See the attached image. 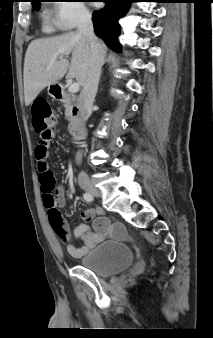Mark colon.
I'll return each mask as SVG.
<instances>
[{"instance_id":"5ec220e1","label":"colon","mask_w":213,"mask_h":338,"mask_svg":"<svg viewBox=\"0 0 213 338\" xmlns=\"http://www.w3.org/2000/svg\"><path fill=\"white\" fill-rule=\"evenodd\" d=\"M33 128L41 139L51 135L53 115L48 102L38 98L32 103ZM40 174V185L44 207L50 211L49 221L53 228L59 227L63 223V217L56 208V199L54 196L55 178L46 162L38 163Z\"/></svg>"}]
</instances>
